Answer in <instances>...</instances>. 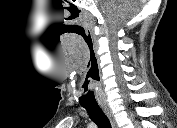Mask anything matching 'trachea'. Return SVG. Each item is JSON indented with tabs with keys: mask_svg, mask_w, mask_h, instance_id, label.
Segmentation results:
<instances>
[{
	"mask_svg": "<svg viewBox=\"0 0 177 128\" xmlns=\"http://www.w3.org/2000/svg\"><path fill=\"white\" fill-rule=\"evenodd\" d=\"M84 108L98 128H112L108 117L99 106H84Z\"/></svg>",
	"mask_w": 177,
	"mask_h": 128,
	"instance_id": "1",
	"label": "trachea"
}]
</instances>
